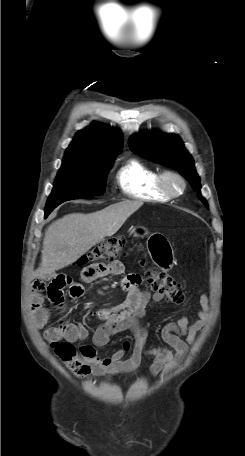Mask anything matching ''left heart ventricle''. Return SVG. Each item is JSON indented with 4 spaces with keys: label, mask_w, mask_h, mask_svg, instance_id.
I'll return each mask as SVG.
<instances>
[{
    "label": "left heart ventricle",
    "mask_w": 245,
    "mask_h": 456,
    "mask_svg": "<svg viewBox=\"0 0 245 456\" xmlns=\"http://www.w3.org/2000/svg\"><path fill=\"white\" fill-rule=\"evenodd\" d=\"M170 184L174 190L178 191L180 189V184L177 180L171 179Z\"/></svg>",
    "instance_id": "left-heart-ventricle-1"
}]
</instances>
